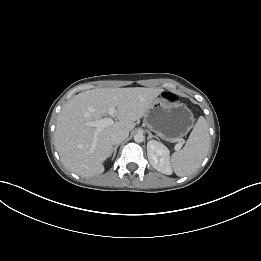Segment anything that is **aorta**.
<instances>
[{"instance_id":"762f6f07","label":"aorta","mask_w":261,"mask_h":261,"mask_svg":"<svg viewBox=\"0 0 261 261\" xmlns=\"http://www.w3.org/2000/svg\"><path fill=\"white\" fill-rule=\"evenodd\" d=\"M144 140V135L142 133H136L134 135V141L137 143H141Z\"/></svg>"}]
</instances>
